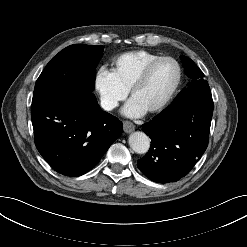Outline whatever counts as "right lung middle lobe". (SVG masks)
Wrapping results in <instances>:
<instances>
[{"label":"right lung middle lobe","instance_id":"obj_1","mask_svg":"<svg viewBox=\"0 0 247 247\" xmlns=\"http://www.w3.org/2000/svg\"><path fill=\"white\" fill-rule=\"evenodd\" d=\"M102 52L101 45L85 44L71 45L60 51L37 79L32 103L52 93H61L79 102L95 100L92 90Z\"/></svg>","mask_w":247,"mask_h":247}]
</instances>
